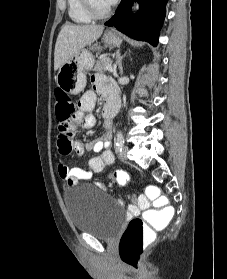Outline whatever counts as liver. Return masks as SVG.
<instances>
[{"label":"liver","mask_w":227,"mask_h":279,"mask_svg":"<svg viewBox=\"0 0 227 279\" xmlns=\"http://www.w3.org/2000/svg\"><path fill=\"white\" fill-rule=\"evenodd\" d=\"M102 25L65 24L57 37L54 51V70H58L80 49L91 45L102 34Z\"/></svg>","instance_id":"6515ba94"}]
</instances>
